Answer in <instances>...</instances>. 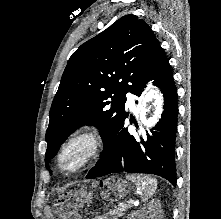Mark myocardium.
Returning a JSON list of instances; mask_svg holds the SVG:
<instances>
[{"label": "myocardium", "mask_w": 221, "mask_h": 219, "mask_svg": "<svg viewBox=\"0 0 221 219\" xmlns=\"http://www.w3.org/2000/svg\"><path fill=\"white\" fill-rule=\"evenodd\" d=\"M83 143L86 146V153L80 163L73 169L67 170L63 167L62 161L65 154L73 147L75 144ZM103 139L99 131L90 129L84 130L82 132L76 133L71 136L61 147L58 152L56 163L58 170L65 175H73L88 165H90L100 154L102 150Z\"/></svg>", "instance_id": "obj_1"}]
</instances>
